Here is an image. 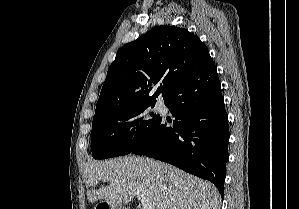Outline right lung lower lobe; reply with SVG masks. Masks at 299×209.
<instances>
[{
	"mask_svg": "<svg viewBox=\"0 0 299 209\" xmlns=\"http://www.w3.org/2000/svg\"><path fill=\"white\" fill-rule=\"evenodd\" d=\"M175 120L160 117L130 153L168 162L207 179L224 196L229 126L216 70L192 74L164 99Z\"/></svg>",
	"mask_w": 299,
	"mask_h": 209,
	"instance_id": "1",
	"label": "right lung lower lobe"
}]
</instances>
